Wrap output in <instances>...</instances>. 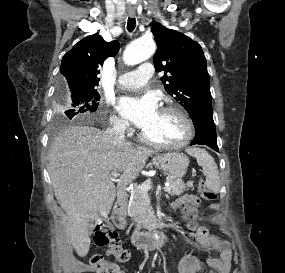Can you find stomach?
Here are the masks:
<instances>
[{
	"mask_svg": "<svg viewBox=\"0 0 285 273\" xmlns=\"http://www.w3.org/2000/svg\"><path fill=\"white\" fill-rule=\"evenodd\" d=\"M157 163L170 177L182 178L187 171L189 159L186 155L179 152H169L157 155Z\"/></svg>",
	"mask_w": 285,
	"mask_h": 273,
	"instance_id": "0dacf381",
	"label": "stomach"
}]
</instances>
